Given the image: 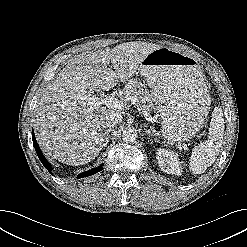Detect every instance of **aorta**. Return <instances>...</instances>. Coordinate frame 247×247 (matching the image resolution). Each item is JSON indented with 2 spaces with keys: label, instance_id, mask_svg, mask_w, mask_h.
Here are the masks:
<instances>
[{
  "label": "aorta",
  "instance_id": "aorta-1",
  "mask_svg": "<svg viewBox=\"0 0 247 247\" xmlns=\"http://www.w3.org/2000/svg\"><path fill=\"white\" fill-rule=\"evenodd\" d=\"M138 137L137 130L134 128L125 129L122 133V139L125 142H134Z\"/></svg>",
  "mask_w": 247,
  "mask_h": 247
}]
</instances>
